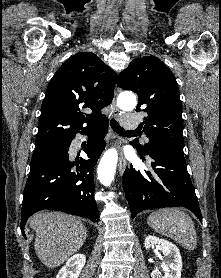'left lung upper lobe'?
I'll return each mask as SVG.
<instances>
[{
  "label": "left lung upper lobe",
  "mask_w": 221,
  "mask_h": 278,
  "mask_svg": "<svg viewBox=\"0 0 221 278\" xmlns=\"http://www.w3.org/2000/svg\"><path fill=\"white\" fill-rule=\"evenodd\" d=\"M117 85L135 92L138 95L136 111L147 114L140 126L149 142L142 146L135 141L133 145L138 152L147 154L158 145L183 147L179 88L173 73L162 61L153 56L134 59L119 74Z\"/></svg>",
  "instance_id": "obj_1"
}]
</instances>
